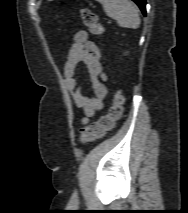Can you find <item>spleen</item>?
<instances>
[{
  "label": "spleen",
  "mask_w": 188,
  "mask_h": 213,
  "mask_svg": "<svg viewBox=\"0 0 188 213\" xmlns=\"http://www.w3.org/2000/svg\"><path fill=\"white\" fill-rule=\"evenodd\" d=\"M103 5L107 16L121 27L137 29L140 25L138 7L130 0H96Z\"/></svg>",
  "instance_id": "spleen-1"
}]
</instances>
